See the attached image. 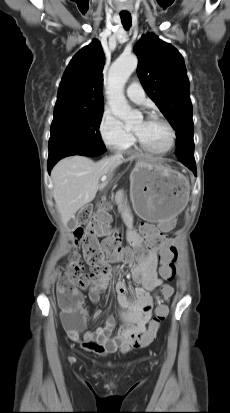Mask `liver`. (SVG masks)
Listing matches in <instances>:
<instances>
[{
  "instance_id": "obj_1",
  "label": "liver",
  "mask_w": 230,
  "mask_h": 413,
  "mask_svg": "<svg viewBox=\"0 0 230 413\" xmlns=\"http://www.w3.org/2000/svg\"><path fill=\"white\" fill-rule=\"evenodd\" d=\"M123 162L120 157L103 158L98 162L84 157L72 156L60 160L52 169L53 197L64 225L84 205L90 203L98 190H103L114 170Z\"/></svg>"
}]
</instances>
